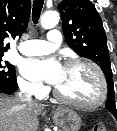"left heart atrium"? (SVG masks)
I'll return each instance as SVG.
<instances>
[{
  "instance_id": "left-heart-atrium-1",
  "label": "left heart atrium",
  "mask_w": 117,
  "mask_h": 131,
  "mask_svg": "<svg viewBox=\"0 0 117 131\" xmlns=\"http://www.w3.org/2000/svg\"><path fill=\"white\" fill-rule=\"evenodd\" d=\"M61 71L62 67L54 59H30L24 61L22 64V72L27 77L31 79H43L55 85L60 79Z\"/></svg>"
}]
</instances>
